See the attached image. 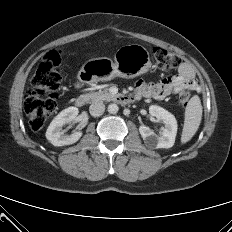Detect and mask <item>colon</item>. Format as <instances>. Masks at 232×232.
Wrapping results in <instances>:
<instances>
[{"instance_id": "1", "label": "colon", "mask_w": 232, "mask_h": 232, "mask_svg": "<svg viewBox=\"0 0 232 232\" xmlns=\"http://www.w3.org/2000/svg\"><path fill=\"white\" fill-rule=\"evenodd\" d=\"M153 58L161 70H171L180 63L175 54L162 47L153 48ZM60 64L59 52L52 50L47 53L32 78V88L26 95L24 109L33 131H39L55 112V99L62 82ZM191 95L190 87L182 88L178 94L179 103L186 106Z\"/></svg>"}]
</instances>
